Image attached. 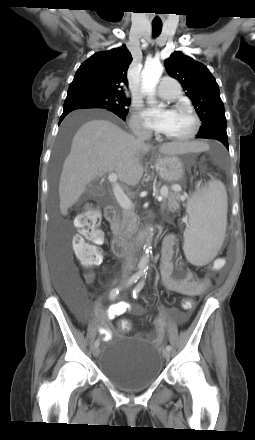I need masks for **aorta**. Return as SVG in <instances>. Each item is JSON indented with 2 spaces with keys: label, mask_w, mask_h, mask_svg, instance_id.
I'll use <instances>...</instances> for the list:
<instances>
[{
  "label": "aorta",
  "mask_w": 255,
  "mask_h": 440,
  "mask_svg": "<svg viewBox=\"0 0 255 440\" xmlns=\"http://www.w3.org/2000/svg\"><path fill=\"white\" fill-rule=\"evenodd\" d=\"M162 73L163 66L159 61L147 62L141 72L142 90L149 96L151 101ZM151 248V241L147 239V243L144 247V255L138 264L139 273L144 274L148 269Z\"/></svg>",
  "instance_id": "1"
}]
</instances>
